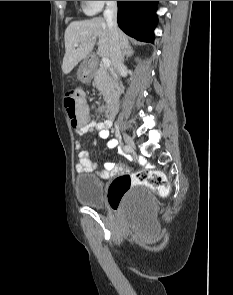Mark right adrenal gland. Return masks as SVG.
<instances>
[{"mask_svg":"<svg viewBox=\"0 0 233 295\" xmlns=\"http://www.w3.org/2000/svg\"><path fill=\"white\" fill-rule=\"evenodd\" d=\"M134 50L132 47H128L126 50L123 52V61L127 60L129 57L133 56ZM126 57V59H125Z\"/></svg>","mask_w":233,"mask_h":295,"instance_id":"right-adrenal-gland-1","label":"right adrenal gland"}]
</instances>
